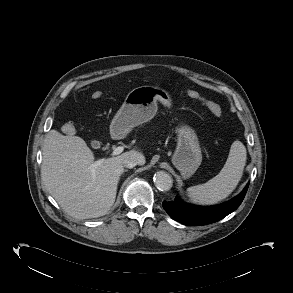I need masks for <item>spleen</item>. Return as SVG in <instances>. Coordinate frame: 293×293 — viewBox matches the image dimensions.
<instances>
[{
  "label": "spleen",
  "instance_id": "obj_1",
  "mask_svg": "<svg viewBox=\"0 0 293 293\" xmlns=\"http://www.w3.org/2000/svg\"><path fill=\"white\" fill-rule=\"evenodd\" d=\"M246 164V148L240 141H234L224 167L220 173L204 184L187 189V195L194 203L211 205L227 198L240 182Z\"/></svg>",
  "mask_w": 293,
  "mask_h": 293
}]
</instances>
